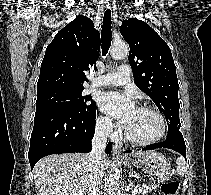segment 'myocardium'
<instances>
[{"label":"myocardium","instance_id":"1","mask_svg":"<svg viewBox=\"0 0 211 195\" xmlns=\"http://www.w3.org/2000/svg\"><path fill=\"white\" fill-rule=\"evenodd\" d=\"M138 109L147 110V111H151V112L155 113L160 119L161 131L156 137H154L152 139L140 140V139L133 137L129 133L127 128L125 127L124 135H125L126 139L128 141H130L131 143L139 145V146H148V145H152V144L159 142L165 136V134L167 132V122H166V118H165L164 114L158 108H156L154 106H150V105H142V106H139Z\"/></svg>","mask_w":211,"mask_h":195}]
</instances>
